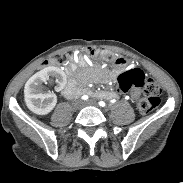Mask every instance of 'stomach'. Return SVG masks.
Here are the masks:
<instances>
[{"instance_id":"stomach-1","label":"stomach","mask_w":183,"mask_h":183,"mask_svg":"<svg viewBox=\"0 0 183 183\" xmlns=\"http://www.w3.org/2000/svg\"><path fill=\"white\" fill-rule=\"evenodd\" d=\"M113 62L115 66H121L126 62V60L119 57V58H116Z\"/></svg>"}]
</instances>
